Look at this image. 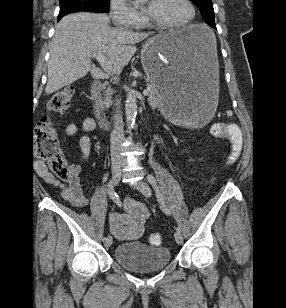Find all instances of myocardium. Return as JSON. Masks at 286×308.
Segmentation results:
<instances>
[{
	"mask_svg": "<svg viewBox=\"0 0 286 308\" xmlns=\"http://www.w3.org/2000/svg\"><path fill=\"white\" fill-rule=\"evenodd\" d=\"M185 2H186V4L188 5V7L191 11V16L187 21H185L183 23L168 24V23H164V22H161V21H157V20L153 19L152 17H150L149 15L146 16V20L154 28L162 29V30H174V29H181V28H184V27H188L195 22L196 9H195V6H194V4L191 0H185Z\"/></svg>",
	"mask_w": 286,
	"mask_h": 308,
	"instance_id": "1",
	"label": "myocardium"
}]
</instances>
